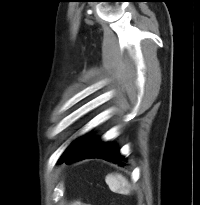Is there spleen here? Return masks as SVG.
<instances>
[{
  "mask_svg": "<svg viewBox=\"0 0 200 205\" xmlns=\"http://www.w3.org/2000/svg\"><path fill=\"white\" fill-rule=\"evenodd\" d=\"M110 190L119 194H129L130 185L127 179L121 174H108L105 178Z\"/></svg>",
  "mask_w": 200,
  "mask_h": 205,
  "instance_id": "spleen-1",
  "label": "spleen"
}]
</instances>
